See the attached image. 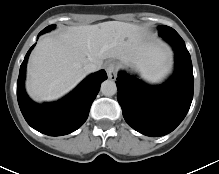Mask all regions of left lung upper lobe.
Returning a JSON list of instances; mask_svg holds the SVG:
<instances>
[{
	"label": "left lung upper lobe",
	"instance_id": "1",
	"mask_svg": "<svg viewBox=\"0 0 219 174\" xmlns=\"http://www.w3.org/2000/svg\"><path fill=\"white\" fill-rule=\"evenodd\" d=\"M158 29H159V35L161 37L179 35L173 28L168 27L166 25H161L158 27Z\"/></svg>",
	"mask_w": 219,
	"mask_h": 174
}]
</instances>
